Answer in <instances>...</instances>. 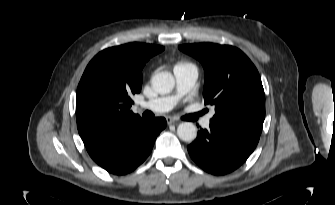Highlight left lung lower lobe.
Segmentation results:
<instances>
[{"instance_id":"obj_1","label":"left lung lower lobe","mask_w":335,"mask_h":205,"mask_svg":"<svg viewBox=\"0 0 335 205\" xmlns=\"http://www.w3.org/2000/svg\"><path fill=\"white\" fill-rule=\"evenodd\" d=\"M260 135L210 120L187 149L191 158L205 171L224 175L243 164L256 148Z\"/></svg>"}]
</instances>
